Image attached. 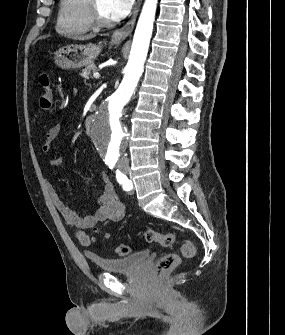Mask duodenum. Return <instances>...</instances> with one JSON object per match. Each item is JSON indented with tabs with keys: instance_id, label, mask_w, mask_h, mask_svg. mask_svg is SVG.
<instances>
[{
	"instance_id": "1",
	"label": "duodenum",
	"mask_w": 285,
	"mask_h": 335,
	"mask_svg": "<svg viewBox=\"0 0 285 335\" xmlns=\"http://www.w3.org/2000/svg\"><path fill=\"white\" fill-rule=\"evenodd\" d=\"M93 118L91 116H88L85 120V129L87 132H90L91 126H92Z\"/></svg>"
}]
</instances>
